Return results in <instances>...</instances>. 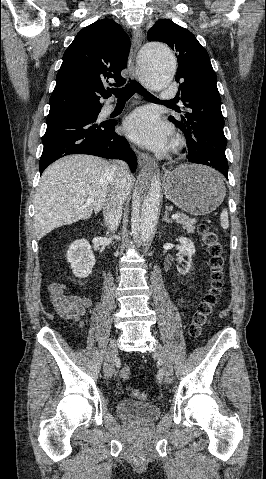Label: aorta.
<instances>
[{
    "instance_id": "1",
    "label": "aorta",
    "mask_w": 266,
    "mask_h": 479,
    "mask_svg": "<svg viewBox=\"0 0 266 479\" xmlns=\"http://www.w3.org/2000/svg\"><path fill=\"white\" fill-rule=\"evenodd\" d=\"M139 66L148 87L158 91L170 84L176 71V61L171 49L163 43L145 44L139 52ZM160 179L153 175L141 177L134 199L132 233L134 239L149 240L155 230L160 206Z\"/></svg>"
}]
</instances>
